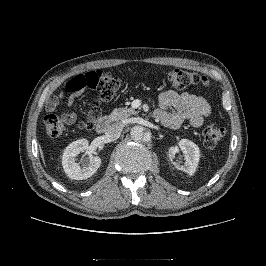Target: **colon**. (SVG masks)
<instances>
[{
  "mask_svg": "<svg viewBox=\"0 0 266 266\" xmlns=\"http://www.w3.org/2000/svg\"><path fill=\"white\" fill-rule=\"evenodd\" d=\"M168 82L175 89H186L189 87H208L210 80L207 76L195 72L174 68L168 73ZM122 87L120 78L111 72L89 71L71 78L65 86L62 94L47 104L48 113L44 117L46 132L50 137H59L65 130L64 120L54 113L57 101L70 91H82L85 89H96L98 98L93 101L90 110V121L80 122V128H87L95 121L101 113L100 103L109 102L119 93ZM225 128L217 123L208 124L202 131L203 143L208 148H214L220 144L225 136Z\"/></svg>",
  "mask_w": 266,
  "mask_h": 266,
  "instance_id": "obj_1",
  "label": "colon"
}]
</instances>
